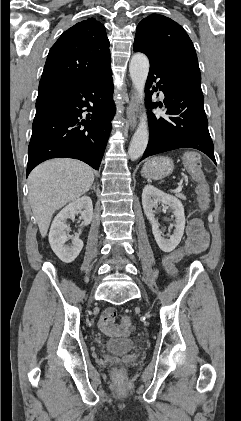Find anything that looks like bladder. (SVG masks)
Instances as JSON below:
<instances>
[{
	"instance_id": "bladder-1",
	"label": "bladder",
	"mask_w": 241,
	"mask_h": 421,
	"mask_svg": "<svg viewBox=\"0 0 241 421\" xmlns=\"http://www.w3.org/2000/svg\"><path fill=\"white\" fill-rule=\"evenodd\" d=\"M136 343L131 339H113L106 343V349L114 354H125L135 349Z\"/></svg>"
}]
</instances>
